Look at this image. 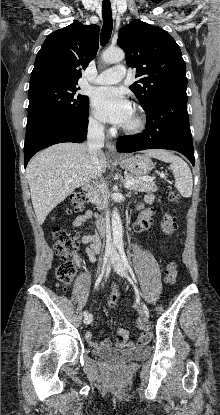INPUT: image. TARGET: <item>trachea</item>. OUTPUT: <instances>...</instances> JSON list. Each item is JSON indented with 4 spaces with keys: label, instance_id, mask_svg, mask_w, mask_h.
Wrapping results in <instances>:
<instances>
[{
    "label": "trachea",
    "instance_id": "3493384b",
    "mask_svg": "<svg viewBox=\"0 0 220 415\" xmlns=\"http://www.w3.org/2000/svg\"><path fill=\"white\" fill-rule=\"evenodd\" d=\"M102 17L103 27L101 30L100 41L101 45L104 46L109 41L113 29L112 11L110 4H102Z\"/></svg>",
    "mask_w": 220,
    "mask_h": 415
}]
</instances>
